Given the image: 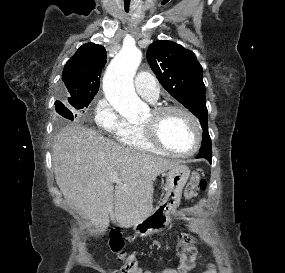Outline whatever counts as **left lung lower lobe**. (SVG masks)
Returning a JSON list of instances; mask_svg holds the SVG:
<instances>
[{
	"mask_svg": "<svg viewBox=\"0 0 285 273\" xmlns=\"http://www.w3.org/2000/svg\"><path fill=\"white\" fill-rule=\"evenodd\" d=\"M204 157L211 162L212 159V148H211V139L208 133V128L203 131L202 145L200 152L197 155V158Z\"/></svg>",
	"mask_w": 285,
	"mask_h": 273,
	"instance_id": "0a47b994",
	"label": "left lung lower lobe"
}]
</instances>
